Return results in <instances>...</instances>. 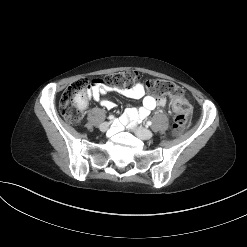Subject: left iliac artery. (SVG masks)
I'll return each mask as SVG.
<instances>
[{
    "mask_svg": "<svg viewBox=\"0 0 247 247\" xmlns=\"http://www.w3.org/2000/svg\"><path fill=\"white\" fill-rule=\"evenodd\" d=\"M152 125V122L151 121H147L146 122V126H151Z\"/></svg>",
    "mask_w": 247,
    "mask_h": 247,
    "instance_id": "left-iliac-artery-1",
    "label": "left iliac artery"
}]
</instances>
